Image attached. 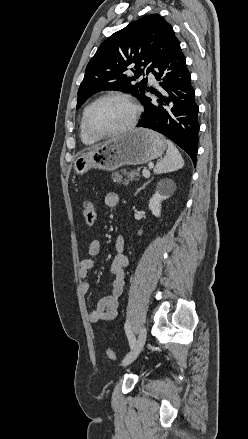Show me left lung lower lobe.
<instances>
[{"mask_svg":"<svg viewBox=\"0 0 248 439\" xmlns=\"http://www.w3.org/2000/svg\"><path fill=\"white\" fill-rule=\"evenodd\" d=\"M159 80L162 93L149 89L159 97L152 100L144 96L141 102L144 113L138 127L155 130L180 146L196 164L198 151L199 107L195 102V92L191 85L190 72L182 54L180 43L176 41L166 56L152 72Z\"/></svg>","mask_w":248,"mask_h":439,"instance_id":"1","label":"left lung lower lobe"}]
</instances>
